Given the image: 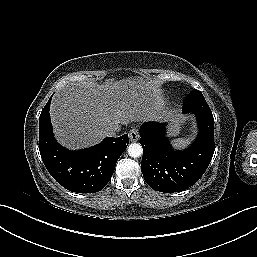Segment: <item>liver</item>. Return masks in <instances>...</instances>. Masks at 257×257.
Returning <instances> with one entry per match:
<instances>
[{
	"label": "liver",
	"mask_w": 257,
	"mask_h": 257,
	"mask_svg": "<svg viewBox=\"0 0 257 257\" xmlns=\"http://www.w3.org/2000/svg\"><path fill=\"white\" fill-rule=\"evenodd\" d=\"M159 98L157 84L142 78L67 85L55 93L51 102L55 137L72 150L95 145L108 130L148 120Z\"/></svg>",
	"instance_id": "1"
}]
</instances>
